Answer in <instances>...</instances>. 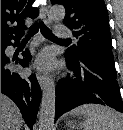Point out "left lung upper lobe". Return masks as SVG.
<instances>
[{
    "mask_svg": "<svg viewBox=\"0 0 123 130\" xmlns=\"http://www.w3.org/2000/svg\"><path fill=\"white\" fill-rule=\"evenodd\" d=\"M62 4L64 22L79 41L65 52L72 58H91L114 65L108 12L104 0H51Z\"/></svg>",
    "mask_w": 123,
    "mask_h": 130,
    "instance_id": "left-lung-upper-lobe-1",
    "label": "left lung upper lobe"
}]
</instances>
